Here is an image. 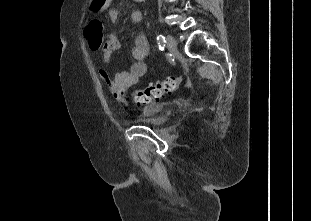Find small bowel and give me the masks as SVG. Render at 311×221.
<instances>
[{"mask_svg": "<svg viewBox=\"0 0 311 221\" xmlns=\"http://www.w3.org/2000/svg\"><path fill=\"white\" fill-rule=\"evenodd\" d=\"M109 17L112 21L119 18L120 10L116 7H111L108 10ZM131 20L134 24H140L143 21V14L140 10H134L131 13ZM89 24V23H88ZM85 29H88V25ZM119 38L114 31L110 32L107 40L102 47L103 61L106 64L112 62L113 54L118 49ZM150 55V46L144 34H138L135 37L134 46L132 48V56L135 61L126 71H118L113 78L104 69L99 71V76L103 83L107 86L113 98L119 102H125L126 95L130 88L143 76L148 66L144 60Z\"/></svg>", "mask_w": 311, "mask_h": 221, "instance_id": "small-bowel-1", "label": "small bowel"}]
</instances>
